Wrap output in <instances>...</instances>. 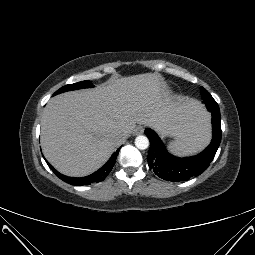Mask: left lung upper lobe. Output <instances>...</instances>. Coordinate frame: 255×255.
Returning a JSON list of instances; mask_svg holds the SVG:
<instances>
[{
  "instance_id": "5c2ea615",
  "label": "left lung upper lobe",
  "mask_w": 255,
  "mask_h": 255,
  "mask_svg": "<svg viewBox=\"0 0 255 255\" xmlns=\"http://www.w3.org/2000/svg\"><path fill=\"white\" fill-rule=\"evenodd\" d=\"M201 95H202V99L206 100V98H213L207 90H205L203 87H201ZM217 104V103H216ZM215 108H218L217 106H215Z\"/></svg>"
}]
</instances>
